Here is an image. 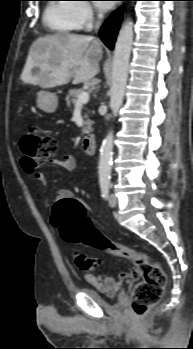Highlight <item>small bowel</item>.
Listing matches in <instances>:
<instances>
[{
    "mask_svg": "<svg viewBox=\"0 0 193 349\" xmlns=\"http://www.w3.org/2000/svg\"><path fill=\"white\" fill-rule=\"evenodd\" d=\"M51 163L61 167L66 171H72L76 166L75 157L70 153H65L61 159L51 160ZM21 165L23 169L28 174L32 175L37 181H39L43 185L46 184L47 182L46 175L43 172L39 171L38 168L32 169L30 166H28L25 163V160L23 157L21 158ZM63 200H76V201L82 202V200L75 197L74 193L67 188H61L57 191L56 201L59 202ZM43 204L46 208L49 207L50 199L44 198ZM138 276H139L138 270L135 267H132L129 271L119 273L116 278L95 276L87 272L85 274V280L89 284L99 288L106 294H113L120 288V286L125 280H136Z\"/></svg>",
    "mask_w": 193,
    "mask_h": 349,
    "instance_id": "obj_1",
    "label": "small bowel"
}]
</instances>
